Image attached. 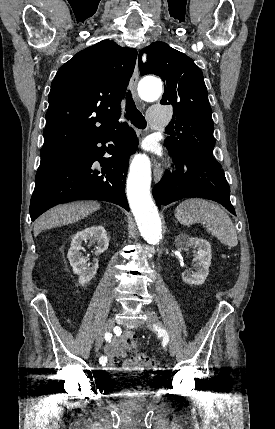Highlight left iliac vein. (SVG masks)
Listing matches in <instances>:
<instances>
[{
	"mask_svg": "<svg viewBox=\"0 0 275 429\" xmlns=\"http://www.w3.org/2000/svg\"><path fill=\"white\" fill-rule=\"evenodd\" d=\"M145 314L147 316V321L149 325L151 326H157L158 325V317L153 311H145ZM176 354V347L174 344H170V355L174 356Z\"/></svg>",
	"mask_w": 275,
	"mask_h": 429,
	"instance_id": "1",
	"label": "left iliac vein"
}]
</instances>
